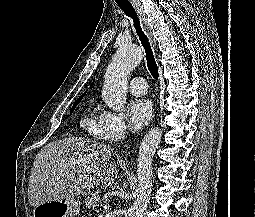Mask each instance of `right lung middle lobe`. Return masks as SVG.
Returning <instances> with one entry per match:
<instances>
[{
    "instance_id": "1",
    "label": "right lung middle lobe",
    "mask_w": 255,
    "mask_h": 217,
    "mask_svg": "<svg viewBox=\"0 0 255 217\" xmlns=\"http://www.w3.org/2000/svg\"><path fill=\"white\" fill-rule=\"evenodd\" d=\"M83 96L84 95H82L74 104H73V106H72V108H71V112H73L74 111V109H75V107L80 103V101H81V99L83 98Z\"/></svg>"
}]
</instances>
